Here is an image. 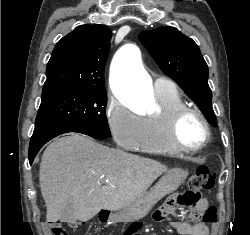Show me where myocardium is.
Segmentation results:
<instances>
[{"label": "myocardium", "instance_id": "myocardium-1", "mask_svg": "<svg viewBox=\"0 0 250 235\" xmlns=\"http://www.w3.org/2000/svg\"><path fill=\"white\" fill-rule=\"evenodd\" d=\"M189 114L196 115L203 123L204 130H205V136H204L203 141L198 146H195V147L184 145L179 138V126L182 120L184 119V117H186ZM168 135L173 146L177 148L179 151L187 152V153H195L205 148L207 144L209 143L210 138H211V126L207 117L204 115V113L201 110H199L196 107L182 105L179 108L172 111L169 116Z\"/></svg>", "mask_w": 250, "mask_h": 235}]
</instances>
